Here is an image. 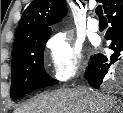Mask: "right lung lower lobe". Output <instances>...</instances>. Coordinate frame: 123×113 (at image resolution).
Here are the masks:
<instances>
[{"label":"right lung lower lobe","mask_w":123,"mask_h":113,"mask_svg":"<svg viewBox=\"0 0 123 113\" xmlns=\"http://www.w3.org/2000/svg\"><path fill=\"white\" fill-rule=\"evenodd\" d=\"M106 14L111 27L105 38L112 41L110 49L114 51V54L110 56V63H108V58L101 54L91 58V63L85 71V77L93 88H99L110 66L120 60L123 55V0H112Z\"/></svg>","instance_id":"right-lung-lower-lobe-1"}]
</instances>
